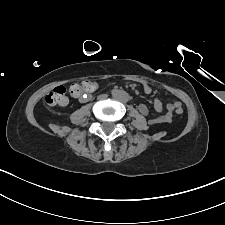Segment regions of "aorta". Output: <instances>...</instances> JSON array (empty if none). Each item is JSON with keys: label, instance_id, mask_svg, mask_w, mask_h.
<instances>
[{"label": "aorta", "instance_id": "aorta-1", "mask_svg": "<svg viewBox=\"0 0 225 225\" xmlns=\"http://www.w3.org/2000/svg\"><path fill=\"white\" fill-rule=\"evenodd\" d=\"M112 94L114 98L122 102H126L129 99L128 93L123 90H115Z\"/></svg>", "mask_w": 225, "mask_h": 225}]
</instances>
